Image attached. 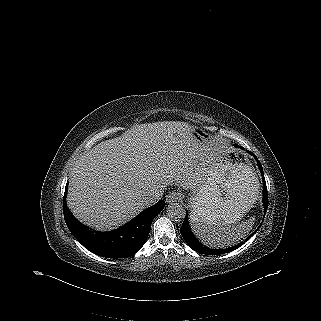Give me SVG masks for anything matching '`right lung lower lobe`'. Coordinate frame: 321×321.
Listing matches in <instances>:
<instances>
[{"instance_id": "98d812e1", "label": "right lung lower lobe", "mask_w": 321, "mask_h": 321, "mask_svg": "<svg viewBox=\"0 0 321 321\" xmlns=\"http://www.w3.org/2000/svg\"><path fill=\"white\" fill-rule=\"evenodd\" d=\"M164 207L165 201L160 200L120 228L98 232L81 224L72 215L64 196V218L70 232L88 250L106 258H126L140 250L149 235L153 219Z\"/></svg>"}]
</instances>
